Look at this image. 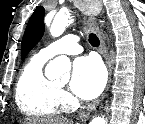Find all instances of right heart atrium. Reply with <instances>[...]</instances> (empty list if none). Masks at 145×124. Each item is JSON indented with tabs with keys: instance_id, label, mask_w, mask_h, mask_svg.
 <instances>
[{
	"instance_id": "right-heart-atrium-1",
	"label": "right heart atrium",
	"mask_w": 145,
	"mask_h": 124,
	"mask_svg": "<svg viewBox=\"0 0 145 124\" xmlns=\"http://www.w3.org/2000/svg\"><path fill=\"white\" fill-rule=\"evenodd\" d=\"M60 93V100L64 103V104H68L70 102V98L67 95V93L65 91H59Z\"/></svg>"
}]
</instances>
